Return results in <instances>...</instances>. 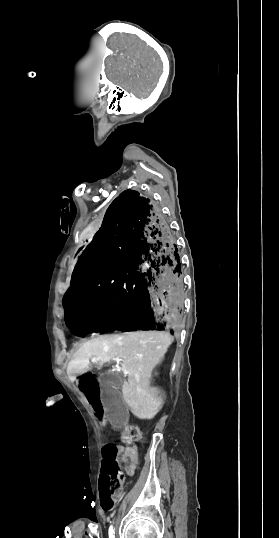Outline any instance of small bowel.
Masks as SVG:
<instances>
[{"mask_svg": "<svg viewBox=\"0 0 279 538\" xmlns=\"http://www.w3.org/2000/svg\"><path fill=\"white\" fill-rule=\"evenodd\" d=\"M118 449V459L117 462L119 464L126 465L127 472L129 474H132L134 472V469L136 467L137 461H138V454L135 447H123V446H117Z\"/></svg>", "mask_w": 279, "mask_h": 538, "instance_id": "c3829d8e", "label": "small bowel"}]
</instances>
